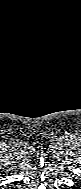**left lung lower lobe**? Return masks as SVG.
Returning a JSON list of instances; mask_svg holds the SVG:
<instances>
[{"mask_svg":"<svg viewBox=\"0 0 81 189\" xmlns=\"http://www.w3.org/2000/svg\"><path fill=\"white\" fill-rule=\"evenodd\" d=\"M76 185H77V184H76ZM70 188H71V189H76V186L73 185V186H71ZM65 189H67V188H65Z\"/></svg>","mask_w":81,"mask_h":189,"instance_id":"left-lung-lower-lobe-1","label":"left lung lower lobe"}]
</instances>
